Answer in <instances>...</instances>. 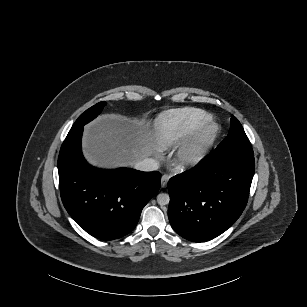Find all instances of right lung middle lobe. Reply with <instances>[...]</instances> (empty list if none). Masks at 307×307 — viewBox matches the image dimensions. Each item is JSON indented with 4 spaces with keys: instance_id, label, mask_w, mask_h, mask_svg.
I'll use <instances>...</instances> for the list:
<instances>
[{
    "instance_id": "dd1d6c3e",
    "label": "right lung middle lobe",
    "mask_w": 307,
    "mask_h": 307,
    "mask_svg": "<svg viewBox=\"0 0 307 307\" xmlns=\"http://www.w3.org/2000/svg\"><path fill=\"white\" fill-rule=\"evenodd\" d=\"M105 105L106 103L103 101L87 109L75 121L70 131H74L81 126H84L86 123L90 122L91 120H93L95 117H97L101 113Z\"/></svg>"
}]
</instances>
